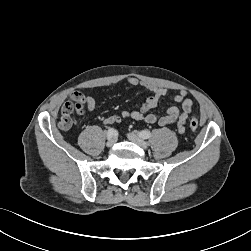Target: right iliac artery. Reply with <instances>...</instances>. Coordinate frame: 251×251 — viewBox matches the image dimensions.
Returning a JSON list of instances; mask_svg holds the SVG:
<instances>
[{"mask_svg": "<svg viewBox=\"0 0 251 251\" xmlns=\"http://www.w3.org/2000/svg\"><path fill=\"white\" fill-rule=\"evenodd\" d=\"M116 133V130L114 128H109L107 131V138L110 139L113 137V135Z\"/></svg>", "mask_w": 251, "mask_h": 251, "instance_id": "1", "label": "right iliac artery"}]
</instances>
